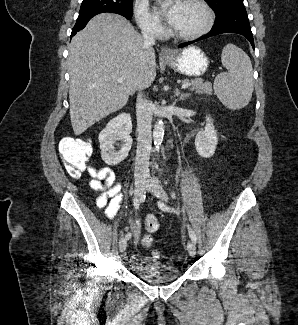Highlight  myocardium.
Segmentation results:
<instances>
[{
    "label": "myocardium",
    "mask_w": 298,
    "mask_h": 325,
    "mask_svg": "<svg viewBox=\"0 0 298 325\" xmlns=\"http://www.w3.org/2000/svg\"><path fill=\"white\" fill-rule=\"evenodd\" d=\"M193 3L201 12L203 16L202 25L195 31L191 33H177L174 32L170 27L168 28V35L172 38L191 41L203 36L211 27L212 19L211 14L206 5H204L200 0H186Z\"/></svg>",
    "instance_id": "f54148a6"
}]
</instances>
